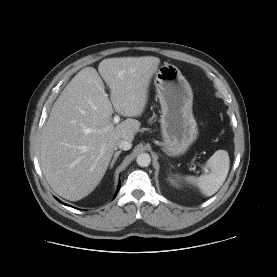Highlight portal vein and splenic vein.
Returning a JSON list of instances; mask_svg holds the SVG:
<instances>
[{
	"mask_svg": "<svg viewBox=\"0 0 277 277\" xmlns=\"http://www.w3.org/2000/svg\"><path fill=\"white\" fill-rule=\"evenodd\" d=\"M119 121H120V117L118 116V115H115L114 116V119H113V123L114 124H117V123H119ZM204 169V171L206 172V173H208V169L207 168H203Z\"/></svg>",
	"mask_w": 277,
	"mask_h": 277,
	"instance_id": "18ae733b",
	"label": "portal vein and splenic vein"
}]
</instances>
